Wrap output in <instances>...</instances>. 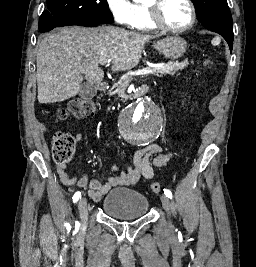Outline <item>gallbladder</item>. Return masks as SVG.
<instances>
[{"label": "gallbladder", "instance_id": "1", "mask_svg": "<svg viewBox=\"0 0 256 267\" xmlns=\"http://www.w3.org/2000/svg\"><path fill=\"white\" fill-rule=\"evenodd\" d=\"M78 94L80 98H83V100H86V102H89V100H92V98L96 96L97 88L95 84H89V82H85V84L81 86Z\"/></svg>", "mask_w": 256, "mask_h": 267}]
</instances>
